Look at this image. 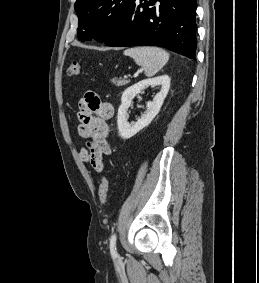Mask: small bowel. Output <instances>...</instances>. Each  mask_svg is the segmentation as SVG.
<instances>
[{
  "label": "small bowel",
  "instance_id": "small-bowel-1",
  "mask_svg": "<svg viewBox=\"0 0 259 283\" xmlns=\"http://www.w3.org/2000/svg\"><path fill=\"white\" fill-rule=\"evenodd\" d=\"M78 134L86 140L80 156L97 172L104 170L103 156L112 153L108 142L107 121L114 115L111 103L101 100L94 92H87L78 103Z\"/></svg>",
  "mask_w": 259,
  "mask_h": 283
}]
</instances>
